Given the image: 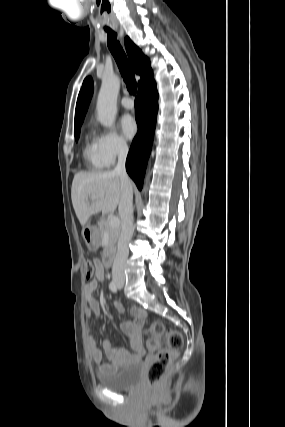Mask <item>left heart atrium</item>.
<instances>
[{
  "mask_svg": "<svg viewBox=\"0 0 285 427\" xmlns=\"http://www.w3.org/2000/svg\"><path fill=\"white\" fill-rule=\"evenodd\" d=\"M121 129L126 138H133L137 133V124L134 118L130 115L123 116L121 119Z\"/></svg>",
  "mask_w": 285,
  "mask_h": 427,
  "instance_id": "obj_1",
  "label": "left heart atrium"
}]
</instances>
